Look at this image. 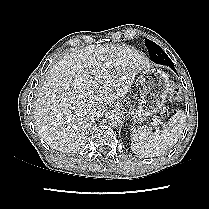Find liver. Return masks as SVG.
<instances>
[{"label": "liver", "instance_id": "1", "mask_svg": "<svg viewBox=\"0 0 209 209\" xmlns=\"http://www.w3.org/2000/svg\"><path fill=\"white\" fill-rule=\"evenodd\" d=\"M148 62L125 45H89L61 59L37 94L34 118L51 148L77 153L108 104L124 98ZM96 78V80H95Z\"/></svg>", "mask_w": 209, "mask_h": 209}]
</instances>
